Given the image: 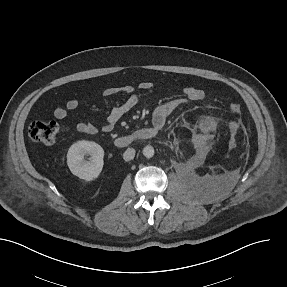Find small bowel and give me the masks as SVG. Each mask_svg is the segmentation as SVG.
Instances as JSON below:
<instances>
[{"label": "small bowel", "mask_w": 287, "mask_h": 287, "mask_svg": "<svg viewBox=\"0 0 287 287\" xmlns=\"http://www.w3.org/2000/svg\"><path fill=\"white\" fill-rule=\"evenodd\" d=\"M151 86L150 82L142 81L124 86H110L104 89V96L124 94L126 95V98L122 103L114 106L110 110L105 123L101 126V130L106 133L110 132L123 116L138 105L140 100L139 92L147 91ZM204 96V91L198 87H184L180 96L174 97L155 108L152 113L153 127L158 130L162 129L165 126L167 119L179 106L188 102L200 101ZM78 106L79 102L76 99H70L64 106H59L54 110V116L59 120H64L67 118L69 112L76 110ZM76 128L79 132L84 134H95L99 129L95 124L84 121L78 122Z\"/></svg>", "instance_id": "c3829d8e"}]
</instances>
